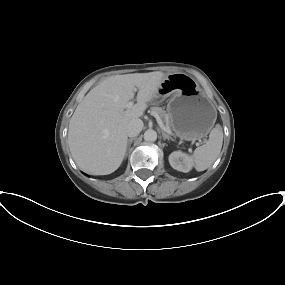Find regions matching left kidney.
Wrapping results in <instances>:
<instances>
[{
  "mask_svg": "<svg viewBox=\"0 0 285 285\" xmlns=\"http://www.w3.org/2000/svg\"><path fill=\"white\" fill-rule=\"evenodd\" d=\"M169 163L174 169L184 173L189 172L193 167L192 158L181 151L172 152L169 155Z\"/></svg>",
  "mask_w": 285,
  "mask_h": 285,
  "instance_id": "1",
  "label": "left kidney"
}]
</instances>
